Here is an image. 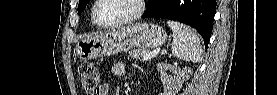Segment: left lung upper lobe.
<instances>
[{"instance_id":"obj_1","label":"left lung upper lobe","mask_w":277,"mask_h":95,"mask_svg":"<svg viewBox=\"0 0 277 95\" xmlns=\"http://www.w3.org/2000/svg\"><path fill=\"white\" fill-rule=\"evenodd\" d=\"M151 1L152 0H148V5L150 4ZM88 2L89 0H79L78 14H81V12L85 9Z\"/></svg>"}]
</instances>
